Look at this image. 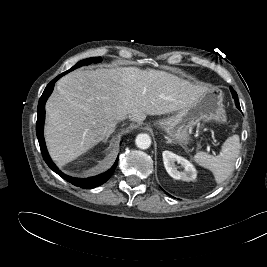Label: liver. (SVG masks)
Instances as JSON below:
<instances>
[{"label":"liver","instance_id":"liver-1","mask_svg":"<svg viewBox=\"0 0 267 267\" xmlns=\"http://www.w3.org/2000/svg\"><path fill=\"white\" fill-rule=\"evenodd\" d=\"M207 90L154 69L75 70L57 82L46 102L49 154L65 165L112 134L119 116L141 123L146 115L193 105Z\"/></svg>","mask_w":267,"mask_h":267}]
</instances>
